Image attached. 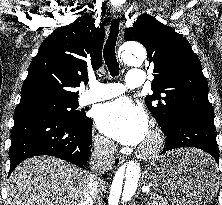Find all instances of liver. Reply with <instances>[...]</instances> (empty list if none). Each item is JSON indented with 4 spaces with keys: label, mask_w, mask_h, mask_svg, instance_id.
<instances>
[{
    "label": "liver",
    "mask_w": 222,
    "mask_h": 205,
    "mask_svg": "<svg viewBox=\"0 0 222 205\" xmlns=\"http://www.w3.org/2000/svg\"><path fill=\"white\" fill-rule=\"evenodd\" d=\"M89 173L52 156H36L10 175L6 205H80Z\"/></svg>",
    "instance_id": "obj_1"
}]
</instances>
